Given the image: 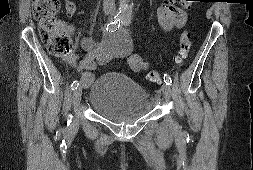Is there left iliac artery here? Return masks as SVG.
Here are the masks:
<instances>
[{
  "label": "left iliac artery",
  "mask_w": 253,
  "mask_h": 170,
  "mask_svg": "<svg viewBox=\"0 0 253 170\" xmlns=\"http://www.w3.org/2000/svg\"><path fill=\"white\" fill-rule=\"evenodd\" d=\"M131 19H132V15L127 14L124 17H122L121 24L124 25V26H128L131 23ZM164 82L167 85H172V80H171L169 75L164 74Z\"/></svg>",
  "instance_id": "obj_1"
}]
</instances>
